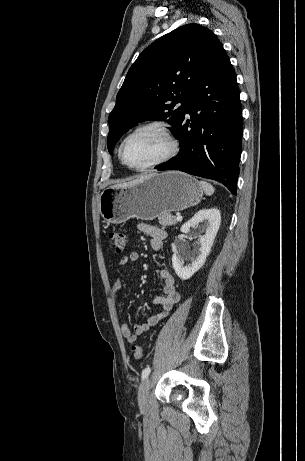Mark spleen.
<instances>
[{"mask_svg":"<svg viewBox=\"0 0 305 461\" xmlns=\"http://www.w3.org/2000/svg\"><path fill=\"white\" fill-rule=\"evenodd\" d=\"M199 183L202 189L204 190L205 194L212 195L214 193L215 189L211 184L205 181H200Z\"/></svg>","mask_w":305,"mask_h":461,"instance_id":"1","label":"spleen"}]
</instances>
